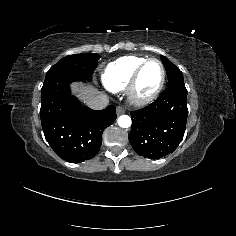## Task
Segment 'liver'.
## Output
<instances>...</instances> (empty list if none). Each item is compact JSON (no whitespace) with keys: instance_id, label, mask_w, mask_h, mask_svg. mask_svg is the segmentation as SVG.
<instances>
[{"instance_id":"6515ba94","label":"liver","mask_w":236,"mask_h":236,"mask_svg":"<svg viewBox=\"0 0 236 236\" xmlns=\"http://www.w3.org/2000/svg\"><path fill=\"white\" fill-rule=\"evenodd\" d=\"M78 86H79V83H72L71 84V89H72L73 93L80 92L79 97L82 100H85L90 95H93L96 92L92 88H90V89H79Z\"/></svg>"}]
</instances>
